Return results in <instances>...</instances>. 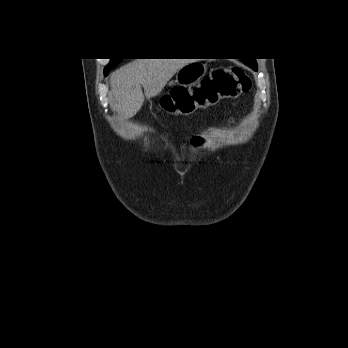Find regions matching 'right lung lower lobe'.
<instances>
[{
  "label": "right lung lower lobe",
  "mask_w": 348,
  "mask_h": 348,
  "mask_svg": "<svg viewBox=\"0 0 348 348\" xmlns=\"http://www.w3.org/2000/svg\"><path fill=\"white\" fill-rule=\"evenodd\" d=\"M104 73H105V75H107V74H108V71H104Z\"/></svg>",
  "instance_id": "1"
}]
</instances>
